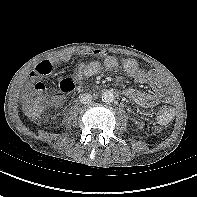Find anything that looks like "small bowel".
I'll return each instance as SVG.
<instances>
[{"label":"small bowel","instance_id":"1","mask_svg":"<svg viewBox=\"0 0 197 197\" xmlns=\"http://www.w3.org/2000/svg\"><path fill=\"white\" fill-rule=\"evenodd\" d=\"M83 55H93L103 59V62L91 61L81 63L78 66L77 75L79 78L91 77L102 71L103 68L109 71L122 69L123 72L135 81L141 84H149L153 91L144 92L134 88H128L124 91L127 98L143 107H152L160 101L173 100V91L168 82L155 70L145 71L138 63L130 58L119 60L105 52L95 50L92 52H82ZM69 54H64L55 59L44 60L40 62L31 72L32 77L49 75L55 64L66 63L70 60Z\"/></svg>","mask_w":197,"mask_h":197}]
</instances>
